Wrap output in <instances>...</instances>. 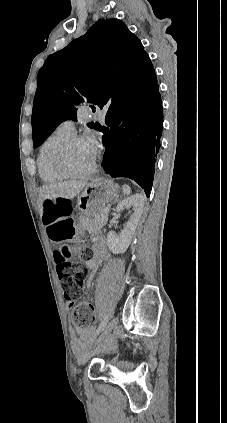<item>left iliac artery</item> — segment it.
Returning <instances> with one entry per match:
<instances>
[{"instance_id":"left-iliac-artery-1","label":"left iliac artery","mask_w":227,"mask_h":423,"mask_svg":"<svg viewBox=\"0 0 227 423\" xmlns=\"http://www.w3.org/2000/svg\"><path fill=\"white\" fill-rule=\"evenodd\" d=\"M108 320H109L108 315H106L103 321L99 324L97 328L96 336H98L103 331V329L106 327Z\"/></svg>"}]
</instances>
